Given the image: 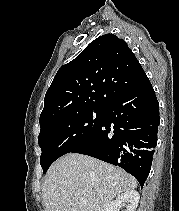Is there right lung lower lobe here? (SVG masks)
<instances>
[{
	"label": "right lung lower lobe",
	"instance_id": "98d812e1",
	"mask_svg": "<svg viewBox=\"0 0 179 211\" xmlns=\"http://www.w3.org/2000/svg\"><path fill=\"white\" fill-rule=\"evenodd\" d=\"M159 122V104L145 75L107 105L94 135L71 152L119 166L143 187L151 169Z\"/></svg>",
	"mask_w": 179,
	"mask_h": 211
}]
</instances>
